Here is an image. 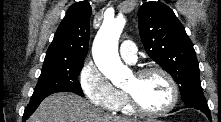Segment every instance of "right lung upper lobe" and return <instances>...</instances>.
I'll use <instances>...</instances> for the list:
<instances>
[{
  "instance_id": "cb5924a9",
  "label": "right lung upper lobe",
  "mask_w": 221,
  "mask_h": 122,
  "mask_svg": "<svg viewBox=\"0 0 221 122\" xmlns=\"http://www.w3.org/2000/svg\"><path fill=\"white\" fill-rule=\"evenodd\" d=\"M91 6L80 1L69 7L50 44L44 62L84 61L88 52Z\"/></svg>"
}]
</instances>
